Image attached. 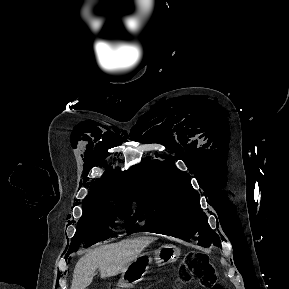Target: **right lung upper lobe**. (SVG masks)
<instances>
[{"label":"right lung upper lobe","mask_w":289,"mask_h":289,"mask_svg":"<svg viewBox=\"0 0 289 289\" xmlns=\"http://www.w3.org/2000/svg\"><path fill=\"white\" fill-rule=\"evenodd\" d=\"M130 170L121 172L116 169L107 172L99 181L91 185L88 196L83 203L101 202H135L136 192L133 190V183L130 179Z\"/></svg>","instance_id":"cb5924a9"}]
</instances>
